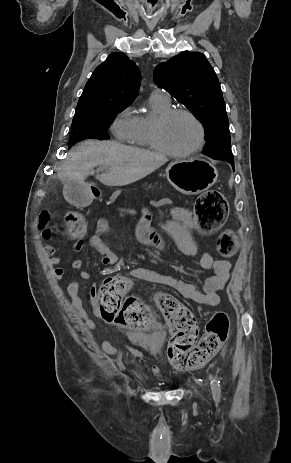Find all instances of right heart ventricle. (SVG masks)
<instances>
[{"label":"right heart ventricle","mask_w":291,"mask_h":463,"mask_svg":"<svg viewBox=\"0 0 291 463\" xmlns=\"http://www.w3.org/2000/svg\"><path fill=\"white\" fill-rule=\"evenodd\" d=\"M149 104L153 115L139 114L134 116L135 129L131 143L136 146L155 149L151 141V125L158 115L170 109V102L151 94Z\"/></svg>","instance_id":"right-heart-ventricle-1"}]
</instances>
